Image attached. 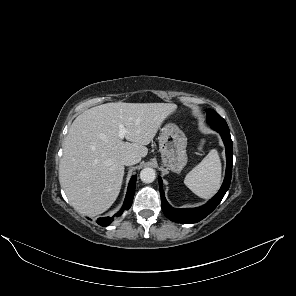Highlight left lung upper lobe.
Masks as SVG:
<instances>
[{
  "mask_svg": "<svg viewBox=\"0 0 296 296\" xmlns=\"http://www.w3.org/2000/svg\"><path fill=\"white\" fill-rule=\"evenodd\" d=\"M207 122L210 125H227L226 121L213 109L207 111Z\"/></svg>",
  "mask_w": 296,
  "mask_h": 296,
  "instance_id": "5c2ea615",
  "label": "left lung upper lobe"
}]
</instances>
